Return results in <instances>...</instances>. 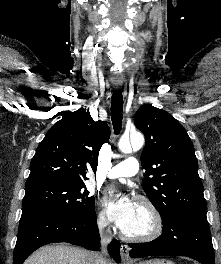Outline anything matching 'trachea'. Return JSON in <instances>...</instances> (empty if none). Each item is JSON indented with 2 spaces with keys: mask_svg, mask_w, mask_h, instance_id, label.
I'll use <instances>...</instances> for the list:
<instances>
[{
  "mask_svg": "<svg viewBox=\"0 0 221 264\" xmlns=\"http://www.w3.org/2000/svg\"><path fill=\"white\" fill-rule=\"evenodd\" d=\"M123 96L120 91H114L111 101V120L114 133L119 134L122 127Z\"/></svg>",
  "mask_w": 221,
  "mask_h": 264,
  "instance_id": "3493384b",
  "label": "trachea"
}]
</instances>
